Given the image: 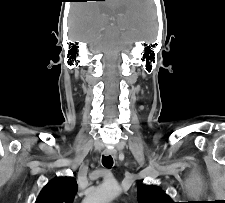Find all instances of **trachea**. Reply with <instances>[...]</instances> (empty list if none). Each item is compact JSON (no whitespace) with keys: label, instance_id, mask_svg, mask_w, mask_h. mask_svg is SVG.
I'll list each match as a JSON object with an SVG mask.
<instances>
[{"label":"trachea","instance_id":"obj_1","mask_svg":"<svg viewBox=\"0 0 225 203\" xmlns=\"http://www.w3.org/2000/svg\"><path fill=\"white\" fill-rule=\"evenodd\" d=\"M102 164L106 168H111L113 166V158L109 156H102Z\"/></svg>","mask_w":225,"mask_h":203}]
</instances>
